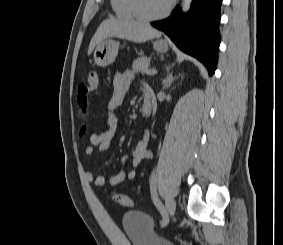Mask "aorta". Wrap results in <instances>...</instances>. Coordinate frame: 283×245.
I'll return each mask as SVG.
<instances>
[{
  "label": "aorta",
  "instance_id": "762f6f07",
  "mask_svg": "<svg viewBox=\"0 0 283 245\" xmlns=\"http://www.w3.org/2000/svg\"><path fill=\"white\" fill-rule=\"evenodd\" d=\"M192 0H183L182 1V11L187 12L190 8Z\"/></svg>",
  "mask_w": 283,
  "mask_h": 245
}]
</instances>
